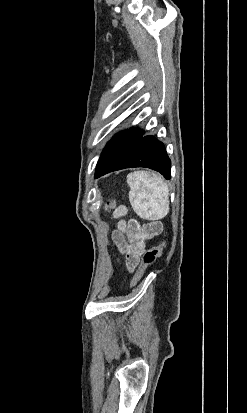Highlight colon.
Returning a JSON list of instances; mask_svg holds the SVG:
<instances>
[{"mask_svg":"<svg viewBox=\"0 0 247 413\" xmlns=\"http://www.w3.org/2000/svg\"><path fill=\"white\" fill-rule=\"evenodd\" d=\"M111 206H112V203H107V207H111ZM166 247H167V241L162 240V242L159 245L153 246L145 250L142 253V257H141L142 264L138 266L137 272H135L134 276L132 277V280L130 283L131 287H134L137 284L138 280L141 277V273L146 272L149 267L153 266V262L157 258L162 256Z\"/></svg>","mask_w":247,"mask_h":413,"instance_id":"colon-1","label":"colon"}]
</instances>
